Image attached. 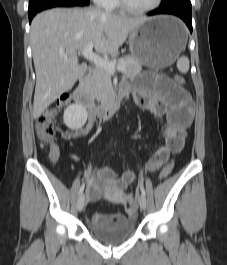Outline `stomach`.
Returning <instances> with one entry per match:
<instances>
[{
    "label": "stomach",
    "instance_id": "stomach-1",
    "mask_svg": "<svg viewBox=\"0 0 227 265\" xmlns=\"http://www.w3.org/2000/svg\"><path fill=\"white\" fill-rule=\"evenodd\" d=\"M186 42L185 26L173 16L148 19L129 35L132 57L152 69H162L172 65Z\"/></svg>",
    "mask_w": 227,
    "mask_h": 265
}]
</instances>
